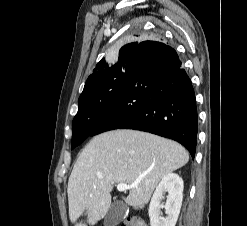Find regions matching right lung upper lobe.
Returning <instances> with one entry per match:
<instances>
[{
	"label": "right lung upper lobe",
	"instance_id": "right-lung-upper-lobe-1",
	"mask_svg": "<svg viewBox=\"0 0 247 226\" xmlns=\"http://www.w3.org/2000/svg\"><path fill=\"white\" fill-rule=\"evenodd\" d=\"M137 45H138V42H133V43H129L123 46L120 50V54L131 57ZM104 63H105L104 61H100L96 65L94 72L88 77L85 83L83 92L87 91L95 83V81L99 77L100 72L104 69Z\"/></svg>",
	"mask_w": 247,
	"mask_h": 226
}]
</instances>
